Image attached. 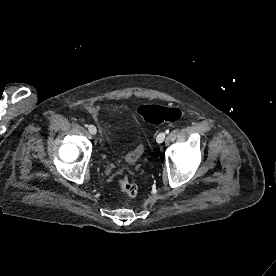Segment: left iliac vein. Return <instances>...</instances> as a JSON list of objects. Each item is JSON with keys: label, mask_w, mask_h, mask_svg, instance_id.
I'll return each mask as SVG.
<instances>
[{"label": "left iliac vein", "mask_w": 276, "mask_h": 276, "mask_svg": "<svg viewBox=\"0 0 276 276\" xmlns=\"http://www.w3.org/2000/svg\"><path fill=\"white\" fill-rule=\"evenodd\" d=\"M165 137H166L165 132H161L157 135L156 140L158 143H162L165 140Z\"/></svg>", "instance_id": "1"}]
</instances>
